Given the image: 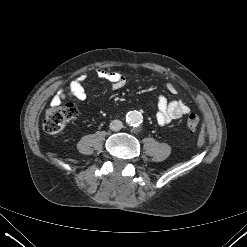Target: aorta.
<instances>
[{
    "label": "aorta",
    "instance_id": "obj_1",
    "mask_svg": "<svg viewBox=\"0 0 247 247\" xmlns=\"http://www.w3.org/2000/svg\"><path fill=\"white\" fill-rule=\"evenodd\" d=\"M143 117L139 111H129L126 115V122L130 126H139L142 123Z\"/></svg>",
    "mask_w": 247,
    "mask_h": 247
}]
</instances>
